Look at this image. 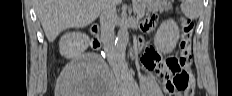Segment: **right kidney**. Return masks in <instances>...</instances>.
I'll list each match as a JSON object with an SVG mask.
<instances>
[{"mask_svg": "<svg viewBox=\"0 0 232 96\" xmlns=\"http://www.w3.org/2000/svg\"><path fill=\"white\" fill-rule=\"evenodd\" d=\"M89 38L82 33H66L59 42L60 54L66 58H76L80 56L88 47Z\"/></svg>", "mask_w": 232, "mask_h": 96, "instance_id": "ca27d5eb", "label": "right kidney"}]
</instances>
